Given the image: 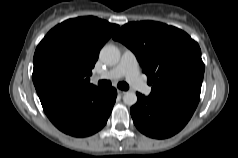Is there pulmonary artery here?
I'll use <instances>...</instances> for the list:
<instances>
[{"instance_id":"1","label":"pulmonary artery","mask_w":238,"mask_h":158,"mask_svg":"<svg viewBox=\"0 0 238 158\" xmlns=\"http://www.w3.org/2000/svg\"><path fill=\"white\" fill-rule=\"evenodd\" d=\"M125 76L127 80L140 92L145 95L151 93V87H149L141 78L139 72V64L136 56L130 50H125L119 63L111 68L110 70L104 72L100 76H95L94 79H118Z\"/></svg>"}]
</instances>
